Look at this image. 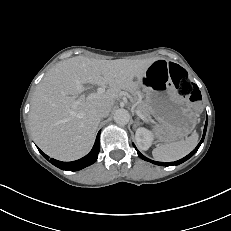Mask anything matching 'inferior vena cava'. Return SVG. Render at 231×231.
Returning <instances> with one entry per match:
<instances>
[{
  "instance_id": "obj_1",
  "label": "inferior vena cava",
  "mask_w": 231,
  "mask_h": 231,
  "mask_svg": "<svg viewBox=\"0 0 231 231\" xmlns=\"http://www.w3.org/2000/svg\"><path fill=\"white\" fill-rule=\"evenodd\" d=\"M110 109L105 107V106H101L97 109V116L99 118H106L109 115Z\"/></svg>"
}]
</instances>
